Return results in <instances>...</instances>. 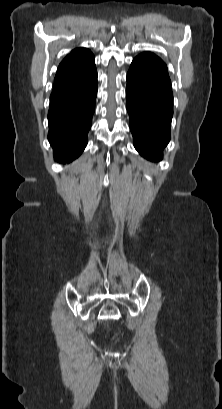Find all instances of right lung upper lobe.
<instances>
[{
	"label": "right lung upper lobe",
	"instance_id": "cb5924a9",
	"mask_svg": "<svg viewBox=\"0 0 222 409\" xmlns=\"http://www.w3.org/2000/svg\"><path fill=\"white\" fill-rule=\"evenodd\" d=\"M95 68L94 55L90 50L86 48L74 49L58 67L52 95H60L78 89L80 81L76 78H66V76L87 74Z\"/></svg>",
	"mask_w": 222,
	"mask_h": 409
}]
</instances>
